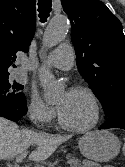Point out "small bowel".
<instances>
[{
    "mask_svg": "<svg viewBox=\"0 0 125 167\" xmlns=\"http://www.w3.org/2000/svg\"><path fill=\"white\" fill-rule=\"evenodd\" d=\"M105 167H114V166L108 165V166H105Z\"/></svg>",
    "mask_w": 125,
    "mask_h": 167,
    "instance_id": "obj_1",
    "label": "small bowel"
}]
</instances>
